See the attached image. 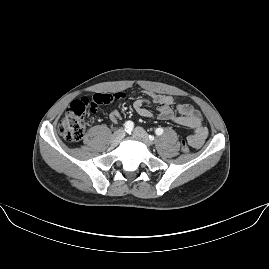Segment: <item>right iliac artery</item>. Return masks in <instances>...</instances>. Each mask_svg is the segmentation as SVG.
I'll list each match as a JSON object with an SVG mask.
<instances>
[{
  "mask_svg": "<svg viewBox=\"0 0 269 269\" xmlns=\"http://www.w3.org/2000/svg\"><path fill=\"white\" fill-rule=\"evenodd\" d=\"M133 127H134V124L132 121H127L125 124H124V130L127 132V133H131V131L133 130Z\"/></svg>",
  "mask_w": 269,
  "mask_h": 269,
  "instance_id": "1",
  "label": "right iliac artery"
}]
</instances>
